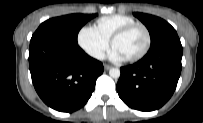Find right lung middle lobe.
<instances>
[{"label": "right lung middle lobe", "mask_w": 203, "mask_h": 123, "mask_svg": "<svg viewBox=\"0 0 203 123\" xmlns=\"http://www.w3.org/2000/svg\"><path fill=\"white\" fill-rule=\"evenodd\" d=\"M95 16L96 14H71L51 18L38 27L32 35L31 41L49 40L61 44L78 45L79 30Z\"/></svg>", "instance_id": "dd1d6c3e"}]
</instances>
